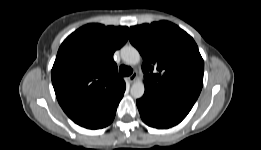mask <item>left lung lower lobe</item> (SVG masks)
<instances>
[{
  "instance_id": "0a47b994",
  "label": "left lung lower lobe",
  "mask_w": 261,
  "mask_h": 150,
  "mask_svg": "<svg viewBox=\"0 0 261 150\" xmlns=\"http://www.w3.org/2000/svg\"><path fill=\"white\" fill-rule=\"evenodd\" d=\"M142 120L155 128H169L180 123L194 103L171 95L145 91L136 101Z\"/></svg>"
}]
</instances>
